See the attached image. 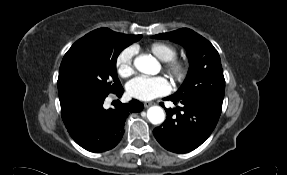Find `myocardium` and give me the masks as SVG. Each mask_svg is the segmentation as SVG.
<instances>
[{
    "instance_id": "myocardium-1",
    "label": "myocardium",
    "mask_w": 287,
    "mask_h": 175,
    "mask_svg": "<svg viewBox=\"0 0 287 175\" xmlns=\"http://www.w3.org/2000/svg\"><path fill=\"white\" fill-rule=\"evenodd\" d=\"M165 72L175 81H183L188 73V64L184 60L173 58L164 62Z\"/></svg>"
}]
</instances>
